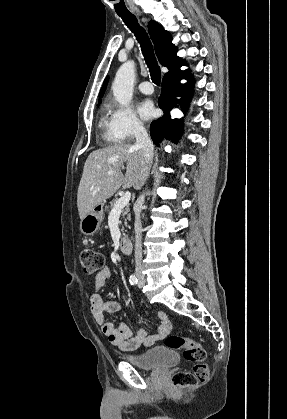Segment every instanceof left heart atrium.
I'll return each mask as SVG.
<instances>
[{
    "mask_svg": "<svg viewBox=\"0 0 287 419\" xmlns=\"http://www.w3.org/2000/svg\"><path fill=\"white\" fill-rule=\"evenodd\" d=\"M138 113L144 119H149L154 115L155 109L151 101L144 100L138 105Z\"/></svg>",
    "mask_w": 287,
    "mask_h": 419,
    "instance_id": "obj_1",
    "label": "left heart atrium"
}]
</instances>
